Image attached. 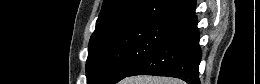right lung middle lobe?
<instances>
[{
  "instance_id": "obj_1",
  "label": "right lung middle lobe",
  "mask_w": 260,
  "mask_h": 84,
  "mask_svg": "<svg viewBox=\"0 0 260 84\" xmlns=\"http://www.w3.org/2000/svg\"><path fill=\"white\" fill-rule=\"evenodd\" d=\"M174 28L163 23H136L90 42L87 84H114L126 77Z\"/></svg>"
}]
</instances>
